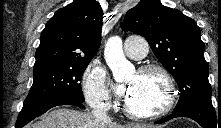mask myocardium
<instances>
[{
	"mask_svg": "<svg viewBox=\"0 0 221 128\" xmlns=\"http://www.w3.org/2000/svg\"><path fill=\"white\" fill-rule=\"evenodd\" d=\"M147 73H156L163 79L165 85V98L161 102V104L156 106V109H148L142 111L132 110L126 100H124V112L130 118L136 120L153 119L166 114L172 108L177 94L174 79L165 67L157 64H147L141 66L137 71L138 76H142Z\"/></svg>",
	"mask_w": 221,
	"mask_h": 128,
	"instance_id": "1",
	"label": "myocardium"
}]
</instances>
